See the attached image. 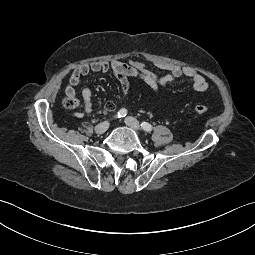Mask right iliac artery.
Returning a JSON list of instances; mask_svg holds the SVG:
<instances>
[{"mask_svg": "<svg viewBox=\"0 0 255 255\" xmlns=\"http://www.w3.org/2000/svg\"><path fill=\"white\" fill-rule=\"evenodd\" d=\"M126 115H127V110L124 109V108H122V109H120V110L117 112V114H116L115 117L121 118V117H125Z\"/></svg>", "mask_w": 255, "mask_h": 255, "instance_id": "82829eb1", "label": "right iliac artery"}]
</instances>
